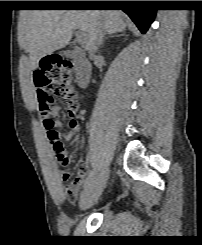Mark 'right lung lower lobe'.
Listing matches in <instances>:
<instances>
[{"mask_svg": "<svg viewBox=\"0 0 202 245\" xmlns=\"http://www.w3.org/2000/svg\"><path fill=\"white\" fill-rule=\"evenodd\" d=\"M79 6L121 7L143 34L147 32L156 14L150 1H80Z\"/></svg>", "mask_w": 202, "mask_h": 245, "instance_id": "98d812e1", "label": "right lung lower lobe"}]
</instances>
